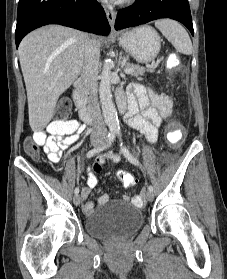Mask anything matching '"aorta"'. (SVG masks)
I'll list each match as a JSON object with an SVG mask.
<instances>
[{"label": "aorta", "mask_w": 227, "mask_h": 279, "mask_svg": "<svg viewBox=\"0 0 227 279\" xmlns=\"http://www.w3.org/2000/svg\"><path fill=\"white\" fill-rule=\"evenodd\" d=\"M111 68L112 61L106 60L101 74L99 96L102 105L104 121L109 129L115 130L119 128V121L111 94Z\"/></svg>", "instance_id": "762f6f07"}]
</instances>
